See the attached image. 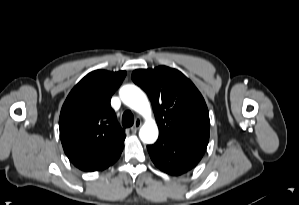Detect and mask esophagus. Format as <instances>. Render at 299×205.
Listing matches in <instances>:
<instances>
[{
  "label": "esophagus",
  "mask_w": 299,
  "mask_h": 205,
  "mask_svg": "<svg viewBox=\"0 0 299 205\" xmlns=\"http://www.w3.org/2000/svg\"><path fill=\"white\" fill-rule=\"evenodd\" d=\"M142 125V121L140 119H136L134 125L131 127L132 132H136Z\"/></svg>",
  "instance_id": "obj_1"
}]
</instances>
